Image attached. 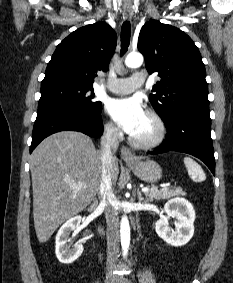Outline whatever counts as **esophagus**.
I'll return each mask as SVG.
<instances>
[{"instance_id":"esophagus-1","label":"esophagus","mask_w":233,"mask_h":283,"mask_svg":"<svg viewBox=\"0 0 233 283\" xmlns=\"http://www.w3.org/2000/svg\"><path fill=\"white\" fill-rule=\"evenodd\" d=\"M124 13L127 17H131L133 15V11L131 7H125L124 8ZM121 158L126 162V163H135L137 161L135 155L131 152L130 149L127 147L123 146L121 148Z\"/></svg>"}]
</instances>
